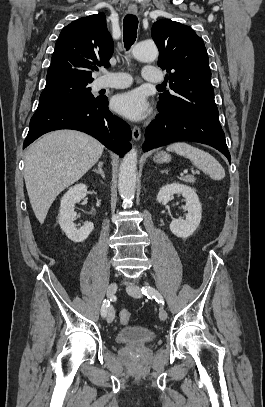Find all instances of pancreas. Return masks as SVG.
<instances>
[{"label":"pancreas","instance_id":"cf45deb5","mask_svg":"<svg viewBox=\"0 0 265 407\" xmlns=\"http://www.w3.org/2000/svg\"><path fill=\"white\" fill-rule=\"evenodd\" d=\"M180 179L187 183H195V177L192 175H187L185 177H181Z\"/></svg>","mask_w":265,"mask_h":407}]
</instances>
